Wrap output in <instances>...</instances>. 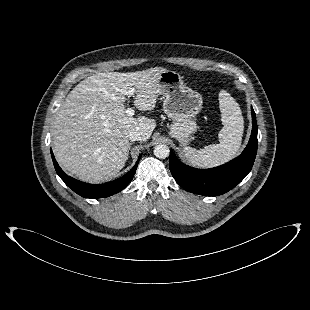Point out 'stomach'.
Here are the masks:
<instances>
[{
  "mask_svg": "<svg viewBox=\"0 0 310 310\" xmlns=\"http://www.w3.org/2000/svg\"><path fill=\"white\" fill-rule=\"evenodd\" d=\"M158 94L164 96L163 110L171 118L170 135L186 146L197 130L194 121L202 108V96L189 88L183 77L172 70L159 75Z\"/></svg>",
  "mask_w": 310,
  "mask_h": 310,
  "instance_id": "1",
  "label": "stomach"
}]
</instances>
